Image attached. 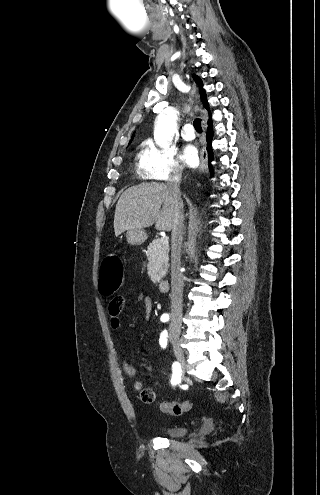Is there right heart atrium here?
<instances>
[{
	"instance_id": "1",
	"label": "right heart atrium",
	"mask_w": 320,
	"mask_h": 495,
	"mask_svg": "<svg viewBox=\"0 0 320 495\" xmlns=\"http://www.w3.org/2000/svg\"><path fill=\"white\" fill-rule=\"evenodd\" d=\"M142 169L146 178L165 181L182 174L183 167L171 149L161 150L149 145L143 155Z\"/></svg>"
}]
</instances>
